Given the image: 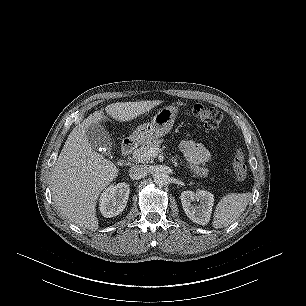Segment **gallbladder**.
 <instances>
[{"label":"gallbladder","instance_id":"1","mask_svg":"<svg viewBox=\"0 0 306 306\" xmlns=\"http://www.w3.org/2000/svg\"><path fill=\"white\" fill-rule=\"evenodd\" d=\"M86 136L92 149H105V152L110 150L112 143L109 133L101 124L90 125L86 129Z\"/></svg>","mask_w":306,"mask_h":306}]
</instances>
